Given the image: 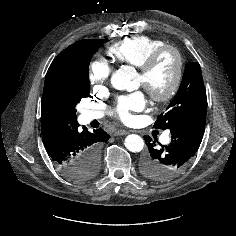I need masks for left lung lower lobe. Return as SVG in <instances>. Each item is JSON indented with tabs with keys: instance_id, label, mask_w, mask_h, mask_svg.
<instances>
[{
	"instance_id": "1",
	"label": "left lung lower lobe",
	"mask_w": 236,
	"mask_h": 236,
	"mask_svg": "<svg viewBox=\"0 0 236 236\" xmlns=\"http://www.w3.org/2000/svg\"><path fill=\"white\" fill-rule=\"evenodd\" d=\"M206 112L190 114L171 128L172 141L157 147L156 140L144 136L148 151L141 159L142 174L153 181H167L182 172L197 152L204 134Z\"/></svg>"
}]
</instances>
